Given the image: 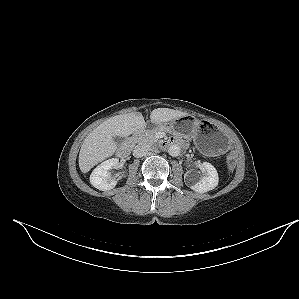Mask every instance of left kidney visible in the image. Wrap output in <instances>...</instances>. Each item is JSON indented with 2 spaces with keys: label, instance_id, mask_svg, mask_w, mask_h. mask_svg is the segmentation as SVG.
<instances>
[{
  "label": "left kidney",
  "instance_id": "left-kidney-1",
  "mask_svg": "<svg viewBox=\"0 0 299 299\" xmlns=\"http://www.w3.org/2000/svg\"><path fill=\"white\" fill-rule=\"evenodd\" d=\"M200 166L207 171L206 176H202L196 181L195 174L192 171H187L184 175V180L192 190L205 193L218 185L219 178L217 170L212 164L203 162Z\"/></svg>",
  "mask_w": 299,
  "mask_h": 299
}]
</instances>
